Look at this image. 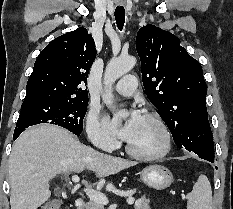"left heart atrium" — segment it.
<instances>
[{"label":"left heart atrium","instance_id":"39dd6f15","mask_svg":"<svg viewBox=\"0 0 233 209\" xmlns=\"http://www.w3.org/2000/svg\"><path fill=\"white\" fill-rule=\"evenodd\" d=\"M142 118L143 116L138 111L133 110L128 120L121 127H119L109 116L106 121L110 129L117 133L122 139L129 141L133 137Z\"/></svg>","mask_w":233,"mask_h":209}]
</instances>
